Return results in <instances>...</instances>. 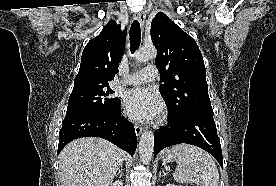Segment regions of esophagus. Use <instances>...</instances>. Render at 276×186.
<instances>
[{
  "mask_svg": "<svg viewBox=\"0 0 276 186\" xmlns=\"http://www.w3.org/2000/svg\"><path fill=\"white\" fill-rule=\"evenodd\" d=\"M137 18H138V20H139V22L141 24V27H144L145 19H146L145 13L144 12H139L137 14ZM134 128H135V132H136L137 136H139L142 133V131H143V129H142V127L140 125L136 124Z\"/></svg>",
  "mask_w": 276,
  "mask_h": 186,
  "instance_id": "1",
  "label": "esophagus"
}]
</instances>
